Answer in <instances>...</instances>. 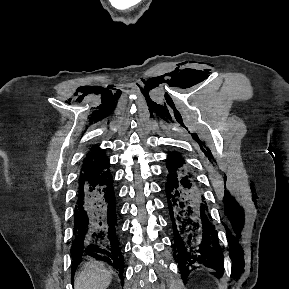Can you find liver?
<instances>
[{"instance_id":"liver-1","label":"liver","mask_w":289,"mask_h":289,"mask_svg":"<svg viewBox=\"0 0 289 289\" xmlns=\"http://www.w3.org/2000/svg\"><path fill=\"white\" fill-rule=\"evenodd\" d=\"M112 273L102 262L89 261L76 275L74 287L75 289H106L112 281Z\"/></svg>"}]
</instances>
